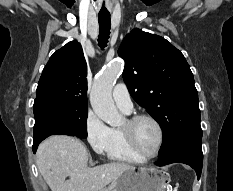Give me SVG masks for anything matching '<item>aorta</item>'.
Instances as JSON below:
<instances>
[{"instance_id":"aorta-1","label":"aorta","mask_w":233,"mask_h":191,"mask_svg":"<svg viewBox=\"0 0 233 191\" xmlns=\"http://www.w3.org/2000/svg\"><path fill=\"white\" fill-rule=\"evenodd\" d=\"M122 69L123 62L121 60L107 65L94 80L90 94V103L94 113L111 126H119L122 122V115L118 112L112 99V89Z\"/></svg>"}]
</instances>
